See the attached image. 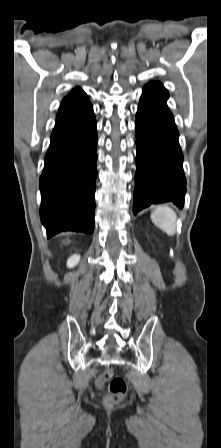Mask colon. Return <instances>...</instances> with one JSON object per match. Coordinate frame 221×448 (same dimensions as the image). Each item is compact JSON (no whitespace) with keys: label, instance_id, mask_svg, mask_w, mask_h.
I'll return each instance as SVG.
<instances>
[{"label":"colon","instance_id":"obj_1","mask_svg":"<svg viewBox=\"0 0 221 448\" xmlns=\"http://www.w3.org/2000/svg\"><path fill=\"white\" fill-rule=\"evenodd\" d=\"M107 382L109 394L105 398V404L107 406H113L124 397L127 391V385L122 377L114 376L111 369L104 371V373L99 377L97 384L99 387H104Z\"/></svg>","mask_w":221,"mask_h":448}]
</instances>
